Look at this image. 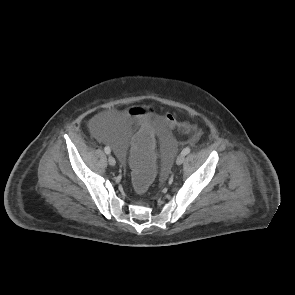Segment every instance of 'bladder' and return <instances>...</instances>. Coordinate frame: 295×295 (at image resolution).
<instances>
[{"label": "bladder", "mask_w": 295, "mask_h": 295, "mask_svg": "<svg viewBox=\"0 0 295 295\" xmlns=\"http://www.w3.org/2000/svg\"><path fill=\"white\" fill-rule=\"evenodd\" d=\"M150 123L153 126L154 138L162 147L157 153L160 158L157 174L159 177L164 178L168 174L173 155L177 152L176 147L169 138L173 131L170 126L166 125L163 119H152ZM131 127L125 123L120 126L114 117L107 112L98 114L89 124L92 134L100 142L106 144V149L110 155L119 160L125 159L129 155L130 143L132 141Z\"/></svg>", "instance_id": "obj_1"}]
</instances>
